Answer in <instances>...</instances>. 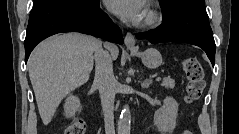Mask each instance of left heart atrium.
<instances>
[{
	"label": "left heart atrium",
	"mask_w": 239,
	"mask_h": 134,
	"mask_svg": "<svg viewBox=\"0 0 239 134\" xmlns=\"http://www.w3.org/2000/svg\"><path fill=\"white\" fill-rule=\"evenodd\" d=\"M107 6L127 22L140 23L146 16V6L142 0H108Z\"/></svg>",
	"instance_id": "left-heart-atrium-1"
}]
</instances>
